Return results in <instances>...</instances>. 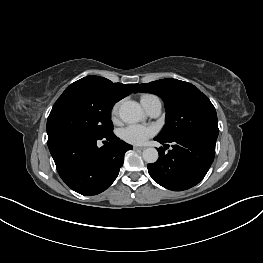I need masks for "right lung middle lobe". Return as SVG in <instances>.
Instances as JSON below:
<instances>
[{
  "label": "right lung middle lobe",
  "instance_id": "1",
  "mask_svg": "<svg viewBox=\"0 0 263 263\" xmlns=\"http://www.w3.org/2000/svg\"><path fill=\"white\" fill-rule=\"evenodd\" d=\"M115 101L82 86L67 87L48 120V139L62 134L105 137L113 134L111 109Z\"/></svg>",
  "mask_w": 263,
  "mask_h": 263
}]
</instances>
